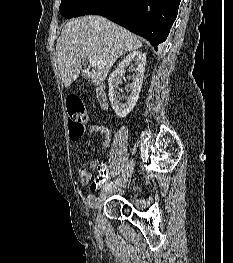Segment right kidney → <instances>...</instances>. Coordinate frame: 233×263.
Returning <instances> with one entry per match:
<instances>
[{
    "label": "right kidney",
    "mask_w": 233,
    "mask_h": 263,
    "mask_svg": "<svg viewBox=\"0 0 233 263\" xmlns=\"http://www.w3.org/2000/svg\"><path fill=\"white\" fill-rule=\"evenodd\" d=\"M146 64V54L141 51H134L124 57L115 71L108 79L109 83V100L115 114L120 117H126L135 107L143 83L144 71ZM129 68L134 72L130 76V95H120L118 92L119 84L122 83V77L125 75V69Z\"/></svg>",
    "instance_id": "right-kidney-1"
}]
</instances>
